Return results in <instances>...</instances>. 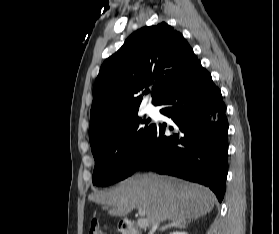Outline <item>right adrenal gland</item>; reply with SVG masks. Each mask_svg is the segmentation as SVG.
<instances>
[{
    "label": "right adrenal gland",
    "mask_w": 279,
    "mask_h": 234,
    "mask_svg": "<svg viewBox=\"0 0 279 234\" xmlns=\"http://www.w3.org/2000/svg\"><path fill=\"white\" fill-rule=\"evenodd\" d=\"M186 224H187L186 221H176V222L174 221V222L169 223V224H167L165 226H162L160 228V231L163 232V231L167 230L168 228H173V227H178V228H182L183 227L184 228L186 226Z\"/></svg>",
    "instance_id": "2a0ac1e0"
}]
</instances>
